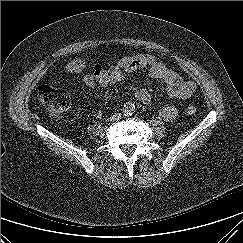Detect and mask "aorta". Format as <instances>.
<instances>
[{"instance_id":"aorta-1","label":"aorta","mask_w":243,"mask_h":243,"mask_svg":"<svg viewBox=\"0 0 243 243\" xmlns=\"http://www.w3.org/2000/svg\"><path fill=\"white\" fill-rule=\"evenodd\" d=\"M123 111H124V113L127 114V115H128V114H129V115L133 114V112L135 111V106H134V104L127 102V103L124 105Z\"/></svg>"}]
</instances>
